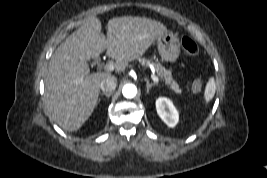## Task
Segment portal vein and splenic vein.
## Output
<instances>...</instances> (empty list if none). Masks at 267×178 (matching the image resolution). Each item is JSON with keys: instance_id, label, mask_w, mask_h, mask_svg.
I'll return each instance as SVG.
<instances>
[{"instance_id": "18ae733b", "label": "portal vein and splenic vein", "mask_w": 267, "mask_h": 178, "mask_svg": "<svg viewBox=\"0 0 267 178\" xmlns=\"http://www.w3.org/2000/svg\"><path fill=\"white\" fill-rule=\"evenodd\" d=\"M104 68L106 71H114L115 65L113 63H108ZM151 78L154 82L159 83V78L156 75L151 74Z\"/></svg>"}]
</instances>
